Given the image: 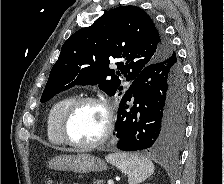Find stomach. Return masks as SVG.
<instances>
[{
  "label": "stomach",
  "mask_w": 224,
  "mask_h": 184,
  "mask_svg": "<svg viewBox=\"0 0 224 184\" xmlns=\"http://www.w3.org/2000/svg\"><path fill=\"white\" fill-rule=\"evenodd\" d=\"M51 169L69 170L77 173L103 171L106 164L103 160L90 154L56 156L48 162Z\"/></svg>",
  "instance_id": "1"
}]
</instances>
